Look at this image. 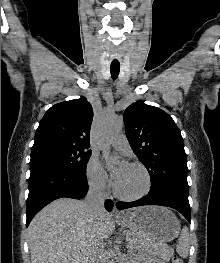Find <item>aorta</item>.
<instances>
[{
    "label": "aorta",
    "instance_id": "aorta-1",
    "mask_svg": "<svg viewBox=\"0 0 220 263\" xmlns=\"http://www.w3.org/2000/svg\"><path fill=\"white\" fill-rule=\"evenodd\" d=\"M123 126V119L107 117L101 127L100 148L108 166L114 162V158L110 154V141L116 133L122 130Z\"/></svg>",
    "mask_w": 220,
    "mask_h": 263
}]
</instances>
